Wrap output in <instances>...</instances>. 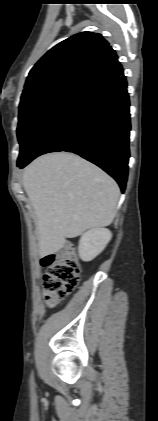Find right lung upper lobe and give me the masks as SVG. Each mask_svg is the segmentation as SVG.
Returning <instances> with one entry per match:
<instances>
[{"mask_svg":"<svg viewBox=\"0 0 158 421\" xmlns=\"http://www.w3.org/2000/svg\"><path fill=\"white\" fill-rule=\"evenodd\" d=\"M118 59L97 33L81 32L50 49L31 69L22 97L61 82L84 84Z\"/></svg>","mask_w":158,"mask_h":421,"instance_id":"right-lung-upper-lobe-1","label":"right lung upper lobe"}]
</instances>
